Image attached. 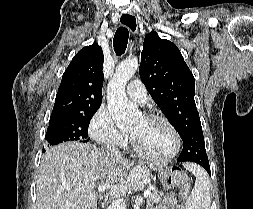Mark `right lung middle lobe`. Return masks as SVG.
Wrapping results in <instances>:
<instances>
[{
  "label": "right lung middle lobe",
  "instance_id": "obj_1",
  "mask_svg": "<svg viewBox=\"0 0 253 209\" xmlns=\"http://www.w3.org/2000/svg\"><path fill=\"white\" fill-rule=\"evenodd\" d=\"M98 108L96 107L82 113L50 117L45 137L47 146L74 140L89 141V122Z\"/></svg>",
  "mask_w": 253,
  "mask_h": 209
}]
</instances>
